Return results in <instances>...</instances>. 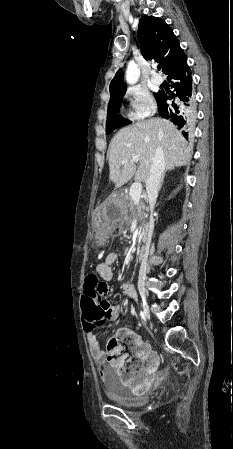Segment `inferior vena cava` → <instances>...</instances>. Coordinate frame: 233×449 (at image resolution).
<instances>
[{
  "instance_id": "inferior-vena-cava-1",
  "label": "inferior vena cava",
  "mask_w": 233,
  "mask_h": 449,
  "mask_svg": "<svg viewBox=\"0 0 233 449\" xmlns=\"http://www.w3.org/2000/svg\"><path fill=\"white\" fill-rule=\"evenodd\" d=\"M165 170V157L161 147H157L152 158V164L148 179L146 180V191L150 206V222L148 225L146 248H149L151 236L154 229L153 211L156 204L161 176ZM139 277L146 278V263H142L139 271Z\"/></svg>"
}]
</instances>
